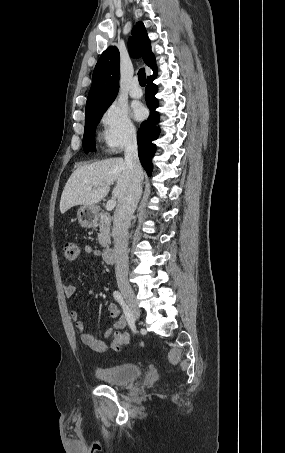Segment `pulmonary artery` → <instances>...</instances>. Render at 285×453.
I'll list each match as a JSON object with an SVG mask.
<instances>
[{
  "mask_svg": "<svg viewBox=\"0 0 285 453\" xmlns=\"http://www.w3.org/2000/svg\"><path fill=\"white\" fill-rule=\"evenodd\" d=\"M130 96L133 98H140L143 95V91L139 85V81L137 78H134L132 81V86L130 89Z\"/></svg>",
  "mask_w": 285,
  "mask_h": 453,
  "instance_id": "1",
  "label": "pulmonary artery"
}]
</instances>
